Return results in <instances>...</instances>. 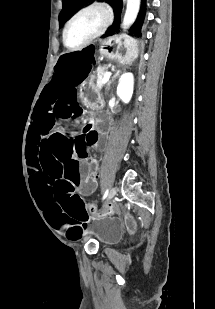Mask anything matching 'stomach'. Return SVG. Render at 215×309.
I'll use <instances>...</instances> for the list:
<instances>
[{"label": "stomach", "mask_w": 215, "mask_h": 309, "mask_svg": "<svg viewBox=\"0 0 215 309\" xmlns=\"http://www.w3.org/2000/svg\"><path fill=\"white\" fill-rule=\"evenodd\" d=\"M100 55L108 60L120 64L132 61L138 52L137 40L133 37L121 34L103 39L100 42ZM81 94L92 103L101 102L100 88L94 82V78H89L82 86Z\"/></svg>", "instance_id": "1"}]
</instances>
